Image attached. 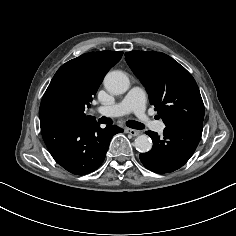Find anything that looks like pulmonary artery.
<instances>
[{
    "mask_svg": "<svg viewBox=\"0 0 236 236\" xmlns=\"http://www.w3.org/2000/svg\"><path fill=\"white\" fill-rule=\"evenodd\" d=\"M145 93L139 86L132 87L122 101L111 105L98 106L95 111L100 114L121 116L128 113H135L141 120L147 121L148 117L145 114ZM164 124L157 123L156 131L162 132Z\"/></svg>",
    "mask_w": 236,
    "mask_h": 236,
    "instance_id": "1",
    "label": "pulmonary artery"
}]
</instances>
